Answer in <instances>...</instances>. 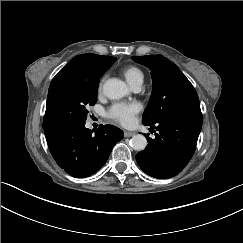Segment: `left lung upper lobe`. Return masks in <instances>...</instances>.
Wrapping results in <instances>:
<instances>
[{"instance_id": "left-lung-upper-lobe-1", "label": "left lung upper lobe", "mask_w": 243, "mask_h": 243, "mask_svg": "<svg viewBox=\"0 0 243 243\" xmlns=\"http://www.w3.org/2000/svg\"><path fill=\"white\" fill-rule=\"evenodd\" d=\"M151 70L153 91L143 114L144 125H154L177 112L201 113L196 90L180 69L162 55L133 56Z\"/></svg>"}]
</instances>
